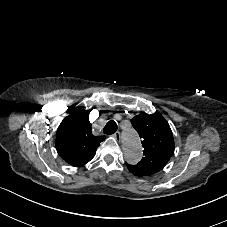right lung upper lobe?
<instances>
[{
  "label": "right lung upper lobe",
  "mask_w": 227,
  "mask_h": 227,
  "mask_svg": "<svg viewBox=\"0 0 227 227\" xmlns=\"http://www.w3.org/2000/svg\"><path fill=\"white\" fill-rule=\"evenodd\" d=\"M105 136H94L86 110H77L59 125L56 134L58 154L74 167L88 163L96 153Z\"/></svg>",
  "instance_id": "cb5924a9"
}]
</instances>
